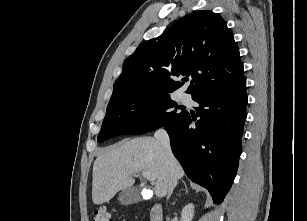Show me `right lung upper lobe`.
Masks as SVG:
<instances>
[{"mask_svg": "<svg viewBox=\"0 0 307 221\" xmlns=\"http://www.w3.org/2000/svg\"><path fill=\"white\" fill-rule=\"evenodd\" d=\"M179 76L193 78L186 91L192 99L245 82L232 31L217 13L192 12L139 45L124 61L109 104L136 94H170L183 85L174 80Z\"/></svg>", "mask_w": 307, "mask_h": 221, "instance_id": "1", "label": "right lung upper lobe"}]
</instances>
